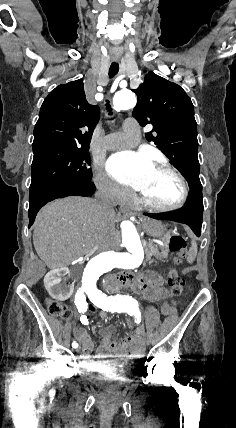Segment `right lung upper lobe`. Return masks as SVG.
Returning a JSON list of instances; mask_svg holds the SVG:
<instances>
[{
  "label": "right lung upper lobe",
  "mask_w": 236,
  "mask_h": 428,
  "mask_svg": "<svg viewBox=\"0 0 236 428\" xmlns=\"http://www.w3.org/2000/svg\"><path fill=\"white\" fill-rule=\"evenodd\" d=\"M99 112L86 101L82 79L59 85L41 106L33 150L89 145Z\"/></svg>",
  "instance_id": "obj_1"
}]
</instances>
